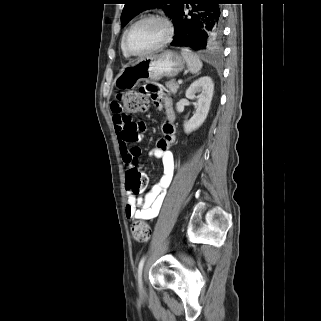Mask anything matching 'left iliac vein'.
Instances as JSON below:
<instances>
[{"instance_id": "left-iliac-vein-1", "label": "left iliac vein", "mask_w": 321, "mask_h": 321, "mask_svg": "<svg viewBox=\"0 0 321 321\" xmlns=\"http://www.w3.org/2000/svg\"><path fill=\"white\" fill-rule=\"evenodd\" d=\"M139 291L141 294H144L145 289H144V283H143V277H141V280L139 282Z\"/></svg>"}]
</instances>
